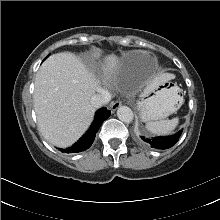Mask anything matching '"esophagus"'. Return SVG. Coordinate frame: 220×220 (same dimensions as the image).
I'll return each instance as SVG.
<instances>
[{"mask_svg": "<svg viewBox=\"0 0 220 220\" xmlns=\"http://www.w3.org/2000/svg\"><path fill=\"white\" fill-rule=\"evenodd\" d=\"M120 106H121V101H120V100L113 101V102L110 104L111 110H112L113 112H114L116 109H118Z\"/></svg>", "mask_w": 220, "mask_h": 220, "instance_id": "obj_1", "label": "esophagus"}]
</instances>
